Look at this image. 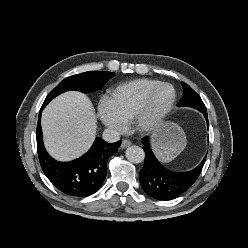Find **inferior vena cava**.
Here are the masks:
<instances>
[{"instance_id":"602c4592","label":"inferior vena cava","mask_w":248,"mask_h":248,"mask_svg":"<svg viewBox=\"0 0 248 248\" xmlns=\"http://www.w3.org/2000/svg\"><path fill=\"white\" fill-rule=\"evenodd\" d=\"M103 139L109 143L117 142L120 139V133L116 129L107 128L103 132Z\"/></svg>"}]
</instances>
